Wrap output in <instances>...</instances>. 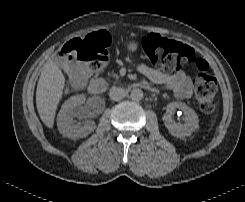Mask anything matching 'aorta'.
<instances>
[{
  "label": "aorta",
  "instance_id": "obj_1",
  "mask_svg": "<svg viewBox=\"0 0 245 202\" xmlns=\"http://www.w3.org/2000/svg\"><path fill=\"white\" fill-rule=\"evenodd\" d=\"M130 97L133 101H140L143 98V91L141 89L135 88L131 91Z\"/></svg>",
  "mask_w": 245,
  "mask_h": 202
}]
</instances>
